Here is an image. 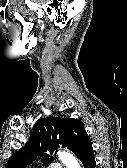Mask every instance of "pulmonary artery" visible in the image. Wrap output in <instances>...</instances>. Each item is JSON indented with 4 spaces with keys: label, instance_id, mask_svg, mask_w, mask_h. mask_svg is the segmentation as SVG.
<instances>
[{
    "label": "pulmonary artery",
    "instance_id": "e3ab8cb5",
    "mask_svg": "<svg viewBox=\"0 0 127 168\" xmlns=\"http://www.w3.org/2000/svg\"><path fill=\"white\" fill-rule=\"evenodd\" d=\"M50 168H62V166L59 164H53V165H51Z\"/></svg>",
    "mask_w": 127,
    "mask_h": 168
}]
</instances>
